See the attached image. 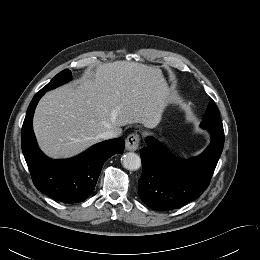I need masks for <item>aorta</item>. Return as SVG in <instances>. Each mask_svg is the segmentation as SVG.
<instances>
[{
	"instance_id": "1",
	"label": "aorta",
	"mask_w": 260,
	"mask_h": 260,
	"mask_svg": "<svg viewBox=\"0 0 260 260\" xmlns=\"http://www.w3.org/2000/svg\"><path fill=\"white\" fill-rule=\"evenodd\" d=\"M122 165L125 169L130 171L138 170L141 167V158L138 154L128 152L121 158Z\"/></svg>"
}]
</instances>
